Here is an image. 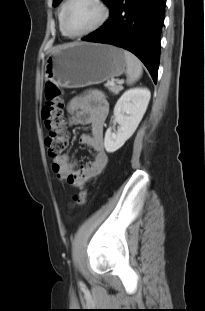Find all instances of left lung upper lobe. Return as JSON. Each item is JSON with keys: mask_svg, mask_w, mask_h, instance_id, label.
Segmentation results:
<instances>
[{"mask_svg": "<svg viewBox=\"0 0 205 311\" xmlns=\"http://www.w3.org/2000/svg\"><path fill=\"white\" fill-rule=\"evenodd\" d=\"M61 0H53V6H56L60 3ZM104 2L109 6V8L112 7L114 0H104Z\"/></svg>", "mask_w": 205, "mask_h": 311, "instance_id": "5c2ea615", "label": "left lung upper lobe"}]
</instances>
